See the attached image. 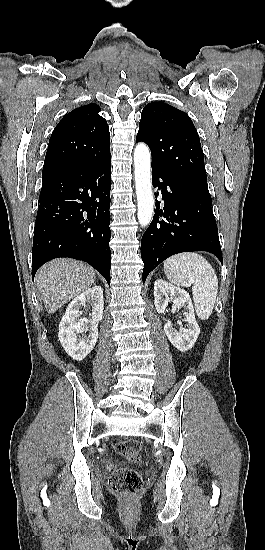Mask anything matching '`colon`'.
<instances>
[{"label":"colon","mask_w":265,"mask_h":550,"mask_svg":"<svg viewBox=\"0 0 265 550\" xmlns=\"http://www.w3.org/2000/svg\"><path fill=\"white\" fill-rule=\"evenodd\" d=\"M115 451L122 458L136 462L140 459L141 447L136 440H125L115 445ZM109 486L114 493L131 497L140 491L142 479L134 469L119 468L111 474Z\"/></svg>","instance_id":"colon-1"}]
</instances>
